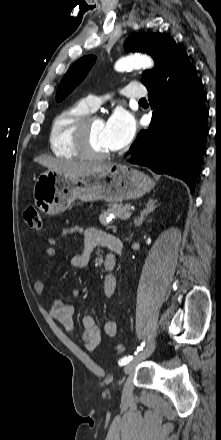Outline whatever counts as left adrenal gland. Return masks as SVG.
Instances as JSON below:
<instances>
[{"mask_svg": "<svg viewBox=\"0 0 221 440\" xmlns=\"http://www.w3.org/2000/svg\"><path fill=\"white\" fill-rule=\"evenodd\" d=\"M156 203H157V200H155V199L148 200V202L145 205V208L142 210V212L140 214V217H138L134 222L136 226L142 225L145 218L156 209V207H157Z\"/></svg>", "mask_w": 221, "mask_h": 440, "instance_id": "obj_1", "label": "left adrenal gland"}]
</instances>
